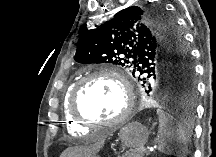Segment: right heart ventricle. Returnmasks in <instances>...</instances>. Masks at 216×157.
Here are the masks:
<instances>
[{
    "label": "right heart ventricle",
    "instance_id": "right-heart-ventricle-1",
    "mask_svg": "<svg viewBox=\"0 0 216 157\" xmlns=\"http://www.w3.org/2000/svg\"><path fill=\"white\" fill-rule=\"evenodd\" d=\"M74 85L75 84L70 85L64 94L62 103L64 122L66 129L70 134L75 136H85L89 134V130L87 129V127L74 120L69 112V100Z\"/></svg>",
    "mask_w": 216,
    "mask_h": 157
}]
</instances>
